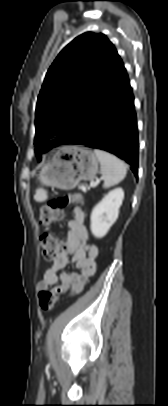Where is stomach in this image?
<instances>
[{"mask_svg": "<svg viewBox=\"0 0 168 406\" xmlns=\"http://www.w3.org/2000/svg\"><path fill=\"white\" fill-rule=\"evenodd\" d=\"M98 170L99 160L91 150L65 146L43 166L39 181L45 186L71 190L82 180H93Z\"/></svg>", "mask_w": 168, "mask_h": 406, "instance_id": "stomach-1", "label": "stomach"}]
</instances>
